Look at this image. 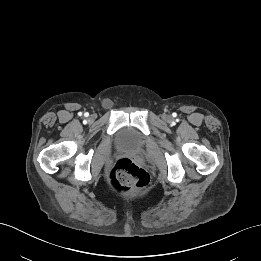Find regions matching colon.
Masks as SVG:
<instances>
[{
  "label": "colon",
  "instance_id": "1",
  "mask_svg": "<svg viewBox=\"0 0 261 261\" xmlns=\"http://www.w3.org/2000/svg\"><path fill=\"white\" fill-rule=\"evenodd\" d=\"M110 182L116 191L132 193L146 187L149 183V176L133 160L124 157L114 163L110 171Z\"/></svg>",
  "mask_w": 261,
  "mask_h": 261
}]
</instances>
